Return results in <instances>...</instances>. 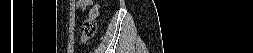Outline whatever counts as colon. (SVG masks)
I'll use <instances>...</instances> for the list:
<instances>
[{"label": "colon", "instance_id": "5ec220e1", "mask_svg": "<svg viewBox=\"0 0 253 53\" xmlns=\"http://www.w3.org/2000/svg\"><path fill=\"white\" fill-rule=\"evenodd\" d=\"M99 15V5H94L90 11L88 18L83 22L81 27L80 40L87 43L96 33V18Z\"/></svg>", "mask_w": 253, "mask_h": 53}]
</instances>
